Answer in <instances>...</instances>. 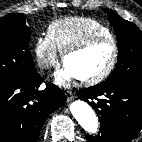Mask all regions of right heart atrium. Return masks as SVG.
Wrapping results in <instances>:
<instances>
[{
	"mask_svg": "<svg viewBox=\"0 0 142 142\" xmlns=\"http://www.w3.org/2000/svg\"><path fill=\"white\" fill-rule=\"evenodd\" d=\"M34 54L40 68L49 70L58 61V49L48 35H40L34 42Z\"/></svg>",
	"mask_w": 142,
	"mask_h": 142,
	"instance_id": "right-heart-atrium-1",
	"label": "right heart atrium"
}]
</instances>
